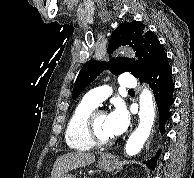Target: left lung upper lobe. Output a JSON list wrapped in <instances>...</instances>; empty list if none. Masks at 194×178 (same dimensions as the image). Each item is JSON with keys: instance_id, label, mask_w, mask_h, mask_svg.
I'll return each mask as SVG.
<instances>
[{"instance_id": "1", "label": "left lung upper lobe", "mask_w": 194, "mask_h": 178, "mask_svg": "<svg viewBox=\"0 0 194 178\" xmlns=\"http://www.w3.org/2000/svg\"><path fill=\"white\" fill-rule=\"evenodd\" d=\"M121 45H130L136 51L139 61L118 57L108 64L95 60L88 61L81 69L75 81L72 98L79 94L107 67L114 75L125 71L140 80L147 76L166 56L157 37L140 22H124L113 31L108 51L112 52Z\"/></svg>"}]
</instances>
